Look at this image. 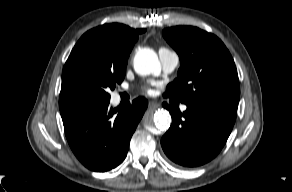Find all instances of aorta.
Here are the masks:
<instances>
[{"instance_id":"aorta-1","label":"aorta","mask_w":292,"mask_h":192,"mask_svg":"<svg viewBox=\"0 0 292 192\" xmlns=\"http://www.w3.org/2000/svg\"><path fill=\"white\" fill-rule=\"evenodd\" d=\"M134 69L140 75L157 73L160 70L157 54L151 49L140 50L134 58ZM143 123L148 130L164 131L170 126L171 116L168 111L159 109L151 118L146 117Z\"/></svg>"}]
</instances>
